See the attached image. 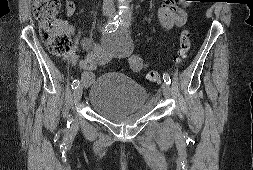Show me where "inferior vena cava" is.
I'll return each instance as SVG.
<instances>
[{
	"instance_id": "1",
	"label": "inferior vena cava",
	"mask_w": 253,
	"mask_h": 170,
	"mask_svg": "<svg viewBox=\"0 0 253 170\" xmlns=\"http://www.w3.org/2000/svg\"><path fill=\"white\" fill-rule=\"evenodd\" d=\"M114 7V0H104L103 2V9L110 11Z\"/></svg>"
}]
</instances>
